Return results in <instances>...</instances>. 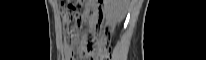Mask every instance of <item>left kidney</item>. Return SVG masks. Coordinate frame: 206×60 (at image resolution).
<instances>
[{"label":"left kidney","instance_id":"1","mask_svg":"<svg viewBox=\"0 0 206 60\" xmlns=\"http://www.w3.org/2000/svg\"><path fill=\"white\" fill-rule=\"evenodd\" d=\"M128 0H107L105 9L107 12V22L111 24L119 23L126 15Z\"/></svg>","mask_w":206,"mask_h":60}]
</instances>
